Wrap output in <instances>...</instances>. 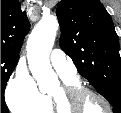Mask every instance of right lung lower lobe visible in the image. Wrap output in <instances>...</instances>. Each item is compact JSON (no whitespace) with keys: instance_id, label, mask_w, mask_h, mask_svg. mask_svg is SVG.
Returning a JSON list of instances; mask_svg holds the SVG:
<instances>
[{"instance_id":"1","label":"right lung lower lobe","mask_w":121,"mask_h":113,"mask_svg":"<svg viewBox=\"0 0 121 113\" xmlns=\"http://www.w3.org/2000/svg\"><path fill=\"white\" fill-rule=\"evenodd\" d=\"M1 113H6V112H4V111H1Z\"/></svg>"}]
</instances>
